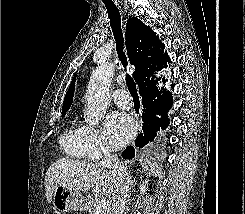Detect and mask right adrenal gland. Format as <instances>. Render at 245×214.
<instances>
[{"mask_svg": "<svg viewBox=\"0 0 245 214\" xmlns=\"http://www.w3.org/2000/svg\"><path fill=\"white\" fill-rule=\"evenodd\" d=\"M134 184H136V180L134 179V180H132L131 179V177H130V185H131V187H133L134 186Z\"/></svg>", "mask_w": 245, "mask_h": 214, "instance_id": "right-adrenal-gland-1", "label": "right adrenal gland"}]
</instances>
